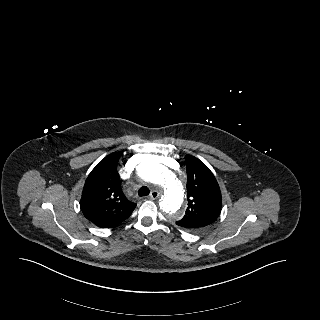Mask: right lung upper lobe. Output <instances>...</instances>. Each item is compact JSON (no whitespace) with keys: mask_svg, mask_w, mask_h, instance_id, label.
I'll list each match as a JSON object with an SVG mask.
<instances>
[{"mask_svg":"<svg viewBox=\"0 0 320 320\" xmlns=\"http://www.w3.org/2000/svg\"><path fill=\"white\" fill-rule=\"evenodd\" d=\"M119 153L101 160L86 179L80 207L84 216L100 228H113L127 219L136 207L129 201L120 185L117 172Z\"/></svg>","mask_w":320,"mask_h":320,"instance_id":"obj_1","label":"right lung upper lobe"}]
</instances>
